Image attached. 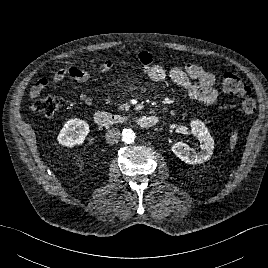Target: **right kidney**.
Wrapping results in <instances>:
<instances>
[{
	"instance_id": "1",
	"label": "right kidney",
	"mask_w": 268,
	"mask_h": 268,
	"mask_svg": "<svg viewBox=\"0 0 268 268\" xmlns=\"http://www.w3.org/2000/svg\"><path fill=\"white\" fill-rule=\"evenodd\" d=\"M88 133L89 125L85 121L75 118L65 123L57 140L63 146L74 147L82 144Z\"/></svg>"
}]
</instances>
